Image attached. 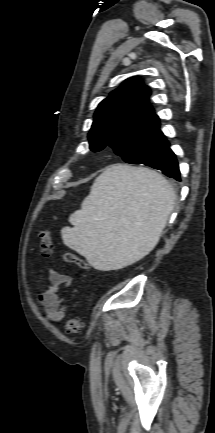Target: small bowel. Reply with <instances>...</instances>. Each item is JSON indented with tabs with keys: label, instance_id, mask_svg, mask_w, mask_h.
<instances>
[{
	"label": "small bowel",
	"instance_id": "c3829d8e",
	"mask_svg": "<svg viewBox=\"0 0 215 433\" xmlns=\"http://www.w3.org/2000/svg\"><path fill=\"white\" fill-rule=\"evenodd\" d=\"M47 278L50 285L39 293L38 300L44 309L47 319L56 323L65 317L66 309L63 292L71 284L72 277L50 268L47 271Z\"/></svg>",
	"mask_w": 215,
	"mask_h": 433
}]
</instances>
